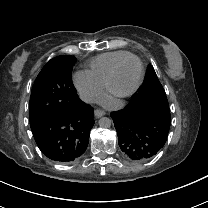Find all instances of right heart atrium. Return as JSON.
Here are the masks:
<instances>
[{
	"label": "right heart atrium",
	"instance_id": "1",
	"mask_svg": "<svg viewBox=\"0 0 208 208\" xmlns=\"http://www.w3.org/2000/svg\"><path fill=\"white\" fill-rule=\"evenodd\" d=\"M73 80L81 92L84 100L88 102H100L103 99V89L93 81L87 72H76Z\"/></svg>",
	"mask_w": 208,
	"mask_h": 208
}]
</instances>
